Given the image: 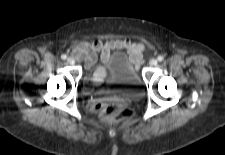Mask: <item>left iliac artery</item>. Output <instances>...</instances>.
I'll use <instances>...</instances> for the list:
<instances>
[{
    "label": "left iliac artery",
    "instance_id": "44dca946",
    "mask_svg": "<svg viewBox=\"0 0 225 155\" xmlns=\"http://www.w3.org/2000/svg\"><path fill=\"white\" fill-rule=\"evenodd\" d=\"M163 59H164L163 56H158V57H157V60H158L159 62L163 61Z\"/></svg>",
    "mask_w": 225,
    "mask_h": 155
}]
</instances>
